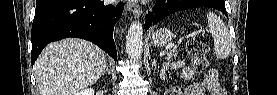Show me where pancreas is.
I'll use <instances>...</instances> for the list:
<instances>
[{"instance_id": "1", "label": "pancreas", "mask_w": 277, "mask_h": 95, "mask_svg": "<svg viewBox=\"0 0 277 95\" xmlns=\"http://www.w3.org/2000/svg\"><path fill=\"white\" fill-rule=\"evenodd\" d=\"M178 54H179L178 50H171L167 53V59L171 60L172 58L177 57Z\"/></svg>"}]
</instances>
